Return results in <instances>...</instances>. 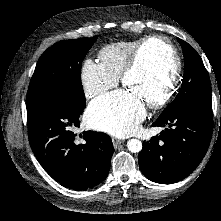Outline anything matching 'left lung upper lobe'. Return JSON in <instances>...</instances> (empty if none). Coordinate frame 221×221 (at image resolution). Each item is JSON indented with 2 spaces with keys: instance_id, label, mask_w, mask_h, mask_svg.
Masks as SVG:
<instances>
[{
  "instance_id": "left-lung-upper-lobe-1",
  "label": "left lung upper lobe",
  "mask_w": 221,
  "mask_h": 221,
  "mask_svg": "<svg viewBox=\"0 0 221 221\" xmlns=\"http://www.w3.org/2000/svg\"><path fill=\"white\" fill-rule=\"evenodd\" d=\"M185 58L182 86L174 101L169 104L160 117L172 115L181 109L197 104H212L208 72L198 53L185 41L178 38Z\"/></svg>"
}]
</instances>
